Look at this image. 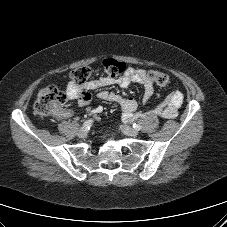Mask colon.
<instances>
[{
  "mask_svg": "<svg viewBox=\"0 0 227 227\" xmlns=\"http://www.w3.org/2000/svg\"><path fill=\"white\" fill-rule=\"evenodd\" d=\"M127 69L125 63L115 59H105L102 62V71L107 77L116 78L123 74ZM91 75V69L82 66L75 69L71 78L77 85L87 82ZM150 80L159 86H165L169 82V77L160 71H150L148 73ZM67 102V95L55 85H47L42 88L37 96L34 105L35 115L44 120L48 117L59 115L63 112V108Z\"/></svg>",
  "mask_w": 227,
  "mask_h": 227,
  "instance_id": "obj_1",
  "label": "colon"
}]
</instances>
